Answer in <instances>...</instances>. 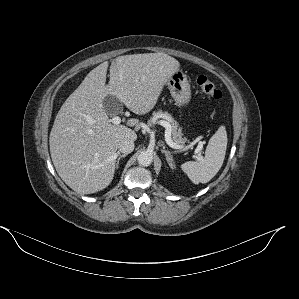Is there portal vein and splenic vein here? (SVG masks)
<instances>
[{
  "instance_id": "1",
  "label": "portal vein and splenic vein",
  "mask_w": 299,
  "mask_h": 299,
  "mask_svg": "<svg viewBox=\"0 0 299 299\" xmlns=\"http://www.w3.org/2000/svg\"><path fill=\"white\" fill-rule=\"evenodd\" d=\"M114 125H119L121 123V118L119 116H114L111 120H110ZM160 124L165 127V140L167 142V144L175 149H180L183 148V146L177 145L176 143L173 142V140L171 139V126L168 122L166 121H161ZM189 146H186L185 148H187ZM202 143L198 144V147L195 149V153H199L202 150ZM196 159L200 160L202 157L200 155H196L195 156Z\"/></svg>"
}]
</instances>
